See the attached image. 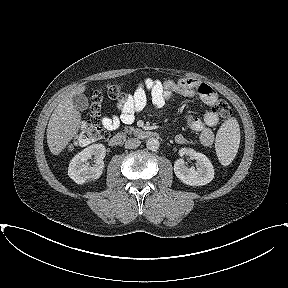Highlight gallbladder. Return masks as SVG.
<instances>
[{
    "mask_svg": "<svg viewBox=\"0 0 288 288\" xmlns=\"http://www.w3.org/2000/svg\"><path fill=\"white\" fill-rule=\"evenodd\" d=\"M72 99L77 110L84 111L88 108V99L84 94H74Z\"/></svg>",
    "mask_w": 288,
    "mask_h": 288,
    "instance_id": "gallbladder-1",
    "label": "gallbladder"
}]
</instances>
